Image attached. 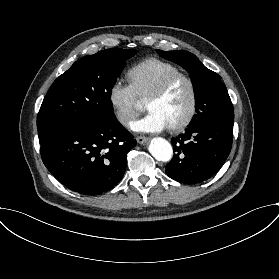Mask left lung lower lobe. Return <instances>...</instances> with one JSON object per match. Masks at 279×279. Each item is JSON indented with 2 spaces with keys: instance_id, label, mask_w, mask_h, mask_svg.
<instances>
[{
  "instance_id": "0a47b994",
  "label": "left lung lower lobe",
  "mask_w": 279,
  "mask_h": 279,
  "mask_svg": "<svg viewBox=\"0 0 279 279\" xmlns=\"http://www.w3.org/2000/svg\"><path fill=\"white\" fill-rule=\"evenodd\" d=\"M233 140V123L205 120L188 126L171 140L176 152L166 174L181 183L194 184L213 176L227 159Z\"/></svg>"
}]
</instances>
